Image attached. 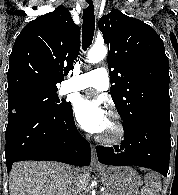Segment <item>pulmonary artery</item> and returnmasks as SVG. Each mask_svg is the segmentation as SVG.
Here are the masks:
<instances>
[{
    "instance_id": "1",
    "label": "pulmonary artery",
    "mask_w": 178,
    "mask_h": 195,
    "mask_svg": "<svg viewBox=\"0 0 178 195\" xmlns=\"http://www.w3.org/2000/svg\"><path fill=\"white\" fill-rule=\"evenodd\" d=\"M95 88L100 91L109 88V75L106 69L97 68L90 72L69 78L61 87V94Z\"/></svg>"
}]
</instances>
